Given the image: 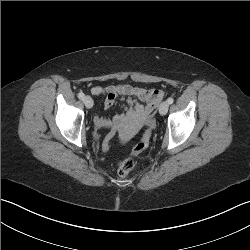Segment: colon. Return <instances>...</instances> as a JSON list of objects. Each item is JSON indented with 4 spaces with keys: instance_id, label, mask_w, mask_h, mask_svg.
I'll return each mask as SVG.
<instances>
[{
    "instance_id": "5ec220e1",
    "label": "colon",
    "mask_w": 250,
    "mask_h": 250,
    "mask_svg": "<svg viewBox=\"0 0 250 250\" xmlns=\"http://www.w3.org/2000/svg\"><path fill=\"white\" fill-rule=\"evenodd\" d=\"M162 96H163L162 92L159 91V97H158L159 101L162 99ZM153 126H154V119L149 118L146 123V130L140 142L133 147L131 154L122 159L119 163L118 175L120 177H125L135 167L136 157L148 147ZM113 129L115 130L116 128L114 127ZM114 130L108 131L103 138L104 141L102 142L101 146L103 149H105L103 152L104 154L107 152V149L111 145L110 142L116 135Z\"/></svg>"
}]
</instances>
